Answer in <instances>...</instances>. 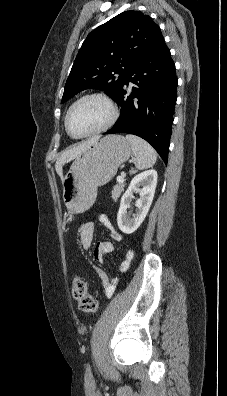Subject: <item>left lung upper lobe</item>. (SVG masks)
I'll return each instance as SVG.
<instances>
[{
  "instance_id": "obj_1",
  "label": "left lung upper lobe",
  "mask_w": 227,
  "mask_h": 396,
  "mask_svg": "<svg viewBox=\"0 0 227 396\" xmlns=\"http://www.w3.org/2000/svg\"><path fill=\"white\" fill-rule=\"evenodd\" d=\"M162 37L151 17L134 10L100 25L83 42L61 103L88 88L103 90L115 100L132 66Z\"/></svg>"
}]
</instances>
